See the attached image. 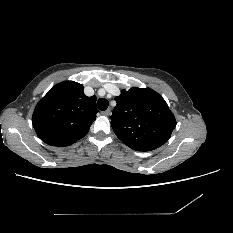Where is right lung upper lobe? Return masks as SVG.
<instances>
[{"label":"right lung upper lobe","instance_id":"obj_1","mask_svg":"<svg viewBox=\"0 0 233 233\" xmlns=\"http://www.w3.org/2000/svg\"><path fill=\"white\" fill-rule=\"evenodd\" d=\"M83 89L74 81L61 82L39 101L32 123L43 142L69 146L87 134L98 110L96 96H86Z\"/></svg>","mask_w":233,"mask_h":233}]
</instances>
